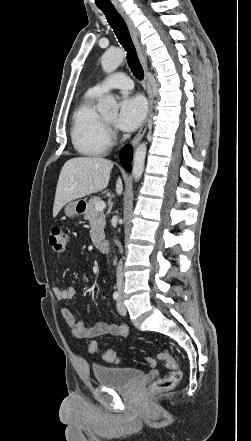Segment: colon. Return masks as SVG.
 Instances as JSON below:
<instances>
[{"mask_svg":"<svg viewBox=\"0 0 251 441\" xmlns=\"http://www.w3.org/2000/svg\"><path fill=\"white\" fill-rule=\"evenodd\" d=\"M69 240L68 234L59 227H54L49 233V243L55 252H62ZM91 353H95L98 350V343L92 341L88 347ZM103 359L108 362L117 363L118 358L114 352L107 350L102 355ZM158 359L163 361L167 369L168 375L155 380L149 387L150 392L158 393L173 389L181 380L182 372L180 370L178 362L168 353L167 350L162 349L158 353ZM145 363L148 366H154L155 360L153 358H147Z\"/></svg>","mask_w":251,"mask_h":441,"instance_id":"1","label":"colon"}]
</instances>
